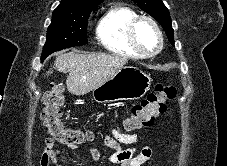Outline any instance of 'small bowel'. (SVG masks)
Returning a JSON list of instances; mask_svg holds the SVG:
<instances>
[{"mask_svg": "<svg viewBox=\"0 0 227 166\" xmlns=\"http://www.w3.org/2000/svg\"><path fill=\"white\" fill-rule=\"evenodd\" d=\"M141 139L139 134H125L116 127H112L111 134L106 136L104 143L113 152L108 156V162L117 166H142L153 162L152 149L144 147L140 151L136 148L124 149L122 145H134ZM76 149V147H72ZM90 155L94 161H100L102 155L96 148L90 149ZM68 158L63 156L55 147L52 138L45 140L44 149L40 158V166H66Z\"/></svg>", "mask_w": 227, "mask_h": 166, "instance_id": "obj_1", "label": "small bowel"}]
</instances>
